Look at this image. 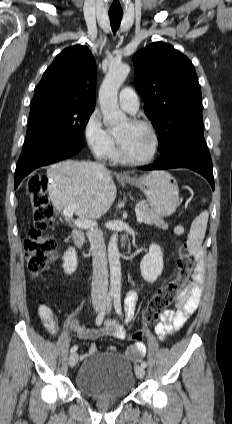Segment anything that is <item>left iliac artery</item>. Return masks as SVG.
<instances>
[{
    "label": "left iliac artery",
    "mask_w": 232,
    "mask_h": 424,
    "mask_svg": "<svg viewBox=\"0 0 232 424\" xmlns=\"http://www.w3.org/2000/svg\"><path fill=\"white\" fill-rule=\"evenodd\" d=\"M114 307H115V310H116L117 314L122 317L121 295H120V293H115L114 294ZM134 309L135 308L132 307V306H129L128 308H126L127 319L129 317L133 318V316H134ZM141 366H143L145 368L147 366L146 362L145 361H142L141 362Z\"/></svg>",
    "instance_id": "left-iliac-artery-1"
}]
</instances>
